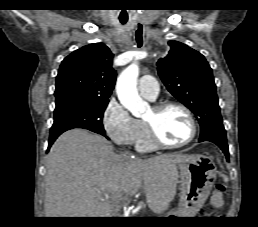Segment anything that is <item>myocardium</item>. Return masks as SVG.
I'll return each instance as SVG.
<instances>
[{
    "instance_id": "myocardium-1",
    "label": "myocardium",
    "mask_w": 258,
    "mask_h": 227,
    "mask_svg": "<svg viewBox=\"0 0 258 227\" xmlns=\"http://www.w3.org/2000/svg\"><path fill=\"white\" fill-rule=\"evenodd\" d=\"M171 107L178 108L186 114V116L189 120L190 126H191L190 135L182 142L168 143V142H165L164 140H162L160 138L159 134L156 131L155 126L151 122L145 120L144 123H145V126L147 128L149 137H150L152 143L155 145V147L180 148V147H183V146L188 145L189 143H191L194 140V138L196 137L197 122H196L195 117H194L193 113L191 112V110L187 106H185L184 104L179 103V102H175V101H165V102H161V103L153 105L152 109L155 112L159 113V112H162L163 110H165L167 108H171Z\"/></svg>"
}]
</instances>
